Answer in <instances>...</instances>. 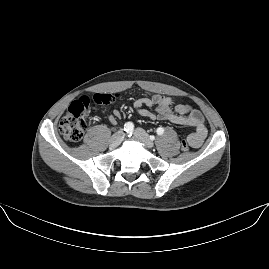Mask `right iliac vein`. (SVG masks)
Masks as SVG:
<instances>
[{
  "label": "right iliac vein",
  "instance_id": "obj_1",
  "mask_svg": "<svg viewBox=\"0 0 269 269\" xmlns=\"http://www.w3.org/2000/svg\"><path fill=\"white\" fill-rule=\"evenodd\" d=\"M124 136L123 131L116 132L111 138H110V146L112 148H116L120 145L122 142V138Z\"/></svg>",
  "mask_w": 269,
  "mask_h": 269
}]
</instances>
